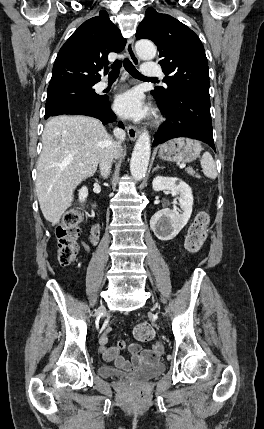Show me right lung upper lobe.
Here are the masks:
<instances>
[{"label":"right lung upper lobe","instance_id":"1","mask_svg":"<svg viewBox=\"0 0 264 429\" xmlns=\"http://www.w3.org/2000/svg\"><path fill=\"white\" fill-rule=\"evenodd\" d=\"M126 44L106 11L85 21L66 41L55 60L48 88L68 84H95L98 71L109 64L110 52H121ZM107 73V70H105Z\"/></svg>","mask_w":264,"mask_h":429}]
</instances>
